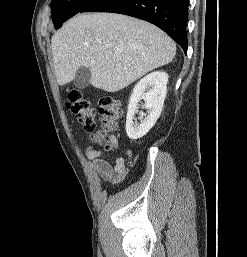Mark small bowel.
I'll return each instance as SVG.
<instances>
[{
  "label": "small bowel",
  "mask_w": 247,
  "mask_h": 257,
  "mask_svg": "<svg viewBox=\"0 0 247 257\" xmlns=\"http://www.w3.org/2000/svg\"><path fill=\"white\" fill-rule=\"evenodd\" d=\"M111 143L113 144L114 149L118 147V139L116 137H111ZM85 154L103 180L110 181L114 185L124 180L127 173V167L126 162L122 157L116 158L112 165L105 158L102 151L96 149L92 145H89L86 148Z\"/></svg>",
  "instance_id": "small-bowel-1"
}]
</instances>
